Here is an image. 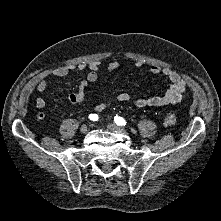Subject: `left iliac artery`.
I'll return each instance as SVG.
<instances>
[{
	"instance_id": "44dca946",
	"label": "left iliac artery",
	"mask_w": 221,
	"mask_h": 221,
	"mask_svg": "<svg viewBox=\"0 0 221 221\" xmlns=\"http://www.w3.org/2000/svg\"><path fill=\"white\" fill-rule=\"evenodd\" d=\"M114 121L117 125H120V126L126 125V121L124 120V118H122L120 116H115Z\"/></svg>"
}]
</instances>
